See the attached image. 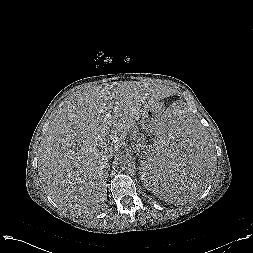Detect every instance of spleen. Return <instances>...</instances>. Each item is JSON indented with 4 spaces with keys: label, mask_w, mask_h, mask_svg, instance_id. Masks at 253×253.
Wrapping results in <instances>:
<instances>
[{
    "label": "spleen",
    "mask_w": 253,
    "mask_h": 253,
    "mask_svg": "<svg viewBox=\"0 0 253 253\" xmlns=\"http://www.w3.org/2000/svg\"><path fill=\"white\" fill-rule=\"evenodd\" d=\"M214 147L198 116L170 111L141 154L139 168L151 191L170 202L195 199L214 172Z\"/></svg>",
    "instance_id": "1"
}]
</instances>
